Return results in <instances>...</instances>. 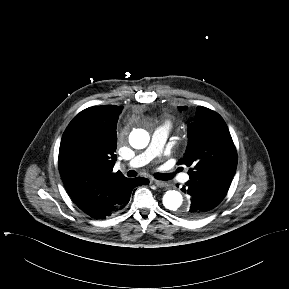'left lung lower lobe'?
I'll use <instances>...</instances> for the list:
<instances>
[{"mask_svg":"<svg viewBox=\"0 0 289 289\" xmlns=\"http://www.w3.org/2000/svg\"><path fill=\"white\" fill-rule=\"evenodd\" d=\"M182 191L191 196L190 208L183 215L198 218L215 208L223 200L228 189L207 182L189 180Z\"/></svg>","mask_w":289,"mask_h":289,"instance_id":"obj_1","label":"left lung lower lobe"}]
</instances>
